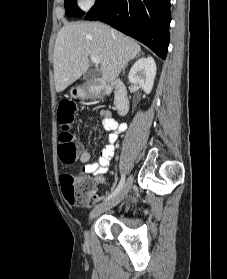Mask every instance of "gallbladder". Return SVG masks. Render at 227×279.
Listing matches in <instances>:
<instances>
[{"mask_svg":"<svg viewBox=\"0 0 227 279\" xmlns=\"http://www.w3.org/2000/svg\"><path fill=\"white\" fill-rule=\"evenodd\" d=\"M98 76V72L95 70H89L87 71L84 76L83 80H85L87 83H92L93 80Z\"/></svg>","mask_w":227,"mask_h":279,"instance_id":"gallbladder-1","label":"gallbladder"}]
</instances>
